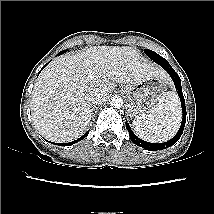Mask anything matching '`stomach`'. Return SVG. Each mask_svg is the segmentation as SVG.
Returning <instances> with one entry per match:
<instances>
[{
  "mask_svg": "<svg viewBox=\"0 0 214 214\" xmlns=\"http://www.w3.org/2000/svg\"><path fill=\"white\" fill-rule=\"evenodd\" d=\"M127 96L128 113L137 117L147 114L161 101L166 91V82L160 77L143 79L133 84H127L121 88Z\"/></svg>",
  "mask_w": 214,
  "mask_h": 214,
  "instance_id": "1",
  "label": "stomach"
}]
</instances>
